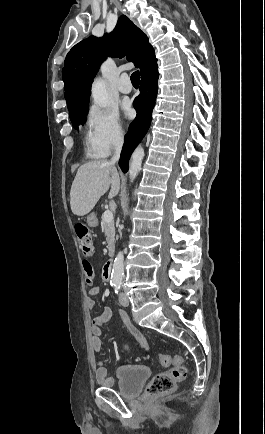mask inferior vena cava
Here are the masks:
<instances>
[{"instance_id":"602c4592","label":"inferior vena cava","mask_w":265,"mask_h":434,"mask_svg":"<svg viewBox=\"0 0 265 434\" xmlns=\"http://www.w3.org/2000/svg\"><path fill=\"white\" fill-rule=\"evenodd\" d=\"M123 142H124L123 136H120L119 140H116V142L114 144L115 152H114V156H112V158L110 160V164H115V162H118V160L120 158Z\"/></svg>"}]
</instances>
